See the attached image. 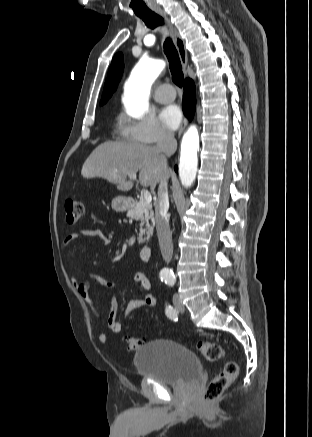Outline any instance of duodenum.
<instances>
[{
  "mask_svg": "<svg viewBox=\"0 0 312 437\" xmlns=\"http://www.w3.org/2000/svg\"><path fill=\"white\" fill-rule=\"evenodd\" d=\"M129 202H131L129 200ZM152 247L148 245H144L139 250V258L143 262H149L152 259Z\"/></svg>",
  "mask_w": 312,
  "mask_h": 437,
  "instance_id": "duodenum-1",
  "label": "duodenum"
}]
</instances>
